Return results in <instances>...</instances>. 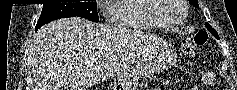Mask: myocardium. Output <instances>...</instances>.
<instances>
[{"mask_svg": "<svg viewBox=\"0 0 237 90\" xmlns=\"http://www.w3.org/2000/svg\"><path fill=\"white\" fill-rule=\"evenodd\" d=\"M188 0H152V6L149 8L150 18H154L158 26L165 31H179L185 24L188 15ZM182 10L183 16L179 23L173 26H168L157 15H165L166 12H178Z\"/></svg>", "mask_w": 237, "mask_h": 90, "instance_id": "f54148a6", "label": "myocardium"}]
</instances>
